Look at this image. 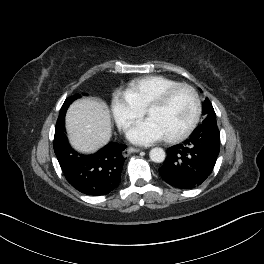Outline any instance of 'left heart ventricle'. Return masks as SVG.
Instances as JSON below:
<instances>
[{
  "label": "left heart ventricle",
  "mask_w": 264,
  "mask_h": 264,
  "mask_svg": "<svg viewBox=\"0 0 264 264\" xmlns=\"http://www.w3.org/2000/svg\"><path fill=\"white\" fill-rule=\"evenodd\" d=\"M194 111L192 94L182 89L176 92L165 106L151 110L148 118L156 123L164 137H169L179 134L188 127Z\"/></svg>",
  "instance_id": "left-heart-ventricle-1"
}]
</instances>
